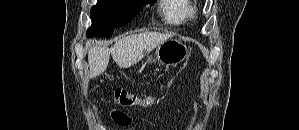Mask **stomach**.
Listing matches in <instances>:
<instances>
[{
    "label": "stomach",
    "mask_w": 299,
    "mask_h": 130,
    "mask_svg": "<svg viewBox=\"0 0 299 130\" xmlns=\"http://www.w3.org/2000/svg\"><path fill=\"white\" fill-rule=\"evenodd\" d=\"M188 56V48L177 39H168L156 47L154 56L150 55L145 60V65L152 64L155 60L163 65H177Z\"/></svg>",
    "instance_id": "obj_1"
}]
</instances>
